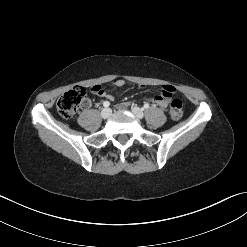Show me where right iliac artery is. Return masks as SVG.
Listing matches in <instances>:
<instances>
[{"label":"right iliac artery","instance_id":"obj_1","mask_svg":"<svg viewBox=\"0 0 247 247\" xmlns=\"http://www.w3.org/2000/svg\"><path fill=\"white\" fill-rule=\"evenodd\" d=\"M103 106L106 107V108L109 107V106H110V102H109V101H105V102L103 103Z\"/></svg>","mask_w":247,"mask_h":247}]
</instances>
